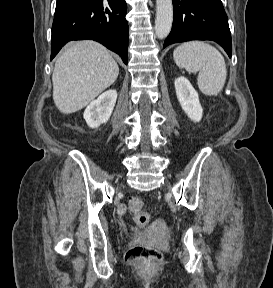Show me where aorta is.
Wrapping results in <instances>:
<instances>
[{
	"mask_svg": "<svg viewBox=\"0 0 273 288\" xmlns=\"http://www.w3.org/2000/svg\"><path fill=\"white\" fill-rule=\"evenodd\" d=\"M172 0H156L155 34L159 39L168 36L172 28Z\"/></svg>",
	"mask_w": 273,
	"mask_h": 288,
	"instance_id": "obj_1",
	"label": "aorta"
}]
</instances>
